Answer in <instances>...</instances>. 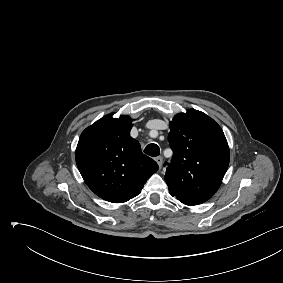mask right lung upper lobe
I'll return each instance as SVG.
<instances>
[{
  "mask_svg": "<svg viewBox=\"0 0 283 283\" xmlns=\"http://www.w3.org/2000/svg\"><path fill=\"white\" fill-rule=\"evenodd\" d=\"M132 121L127 115H106L82 132L75 152L85 183L97 196L112 203L137 196L159 168L130 136Z\"/></svg>",
  "mask_w": 283,
  "mask_h": 283,
  "instance_id": "obj_1",
  "label": "right lung upper lobe"
}]
</instances>
